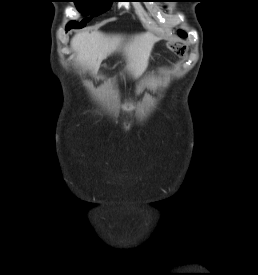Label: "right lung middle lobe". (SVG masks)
Wrapping results in <instances>:
<instances>
[{"label": "right lung middle lobe", "mask_w": 258, "mask_h": 275, "mask_svg": "<svg viewBox=\"0 0 258 275\" xmlns=\"http://www.w3.org/2000/svg\"><path fill=\"white\" fill-rule=\"evenodd\" d=\"M112 2L113 0H74L77 9L80 12L86 14L91 13L92 17L108 10ZM67 27L82 28L84 27V24L72 21L67 25Z\"/></svg>", "instance_id": "right-lung-middle-lobe-1"}]
</instances>
